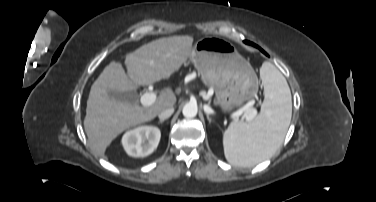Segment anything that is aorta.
I'll use <instances>...</instances> for the list:
<instances>
[{"label":"aorta","instance_id":"obj_1","mask_svg":"<svg viewBox=\"0 0 376 202\" xmlns=\"http://www.w3.org/2000/svg\"><path fill=\"white\" fill-rule=\"evenodd\" d=\"M197 112H198L197 104L192 103V102L185 104L182 109L183 115L187 118L195 117L197 115Z\"/></svg>","mask_w":376,"mask_h":202}]
</instances>
